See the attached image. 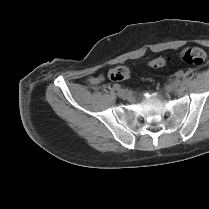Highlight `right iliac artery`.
<instances>
[{
  "label": "right iliac artery",
  "mask_w": 209,
  "mask_h": 209,
  "mask_svg": "<svg viewBox=\"0 0 209 209\" xmlns=\"http://www.w3.org/2000/svg\"><path fill=\"white\" fill-rule=\"evenodd\" d=\"M113 89L114 90H119L120 89V85L119 84H114L113 85Z\"/></svg>",
  "instance_id": "right-iliac-artery-1"
}]
</instances>
